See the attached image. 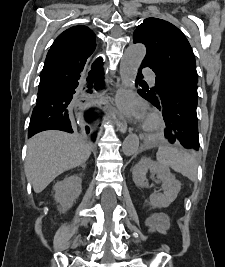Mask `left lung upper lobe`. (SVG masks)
Listing matches in <instances>:
<instances>
[{"instance_id": "left-lung-upper-lobe-1", "label": "left lung upper lobe", "mask_w": 225, "mask_h": 267, "mask_svg": "<svg viewBox=\"0 0 225 267\" xmlns=\"http://www.w3.org/2000/svg\"><path fill=\"white\" fill-rule=\"evenodd\" d=\"M133 39L134 43L147 47L142 64L156 74L155 87L149 90L155 98L176 79L189 78L198 82L192 48L173 24L159 18H147L136 28Z\"/></svg>"}]
</instances>
